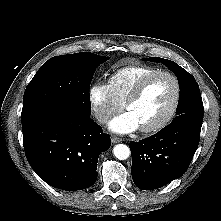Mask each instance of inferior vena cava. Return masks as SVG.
Wrapping results in <instances>:
<instances>
[{"label": "inferior vena cava", "instance_id": "inferior-vena-cava-1", "mask_svg": "<svg viewBox=\"0 0 221 221\" xmlns=\"http://www.w3.org/2000/svg\"><path fill=\"white\" fill-rule=\"evenodd\" d=\"M95 117L100 123H106L110 118V116L104 112H96Z\"/></svg>", "mask_w": 221, "mask_h": 221}]
</instances>
